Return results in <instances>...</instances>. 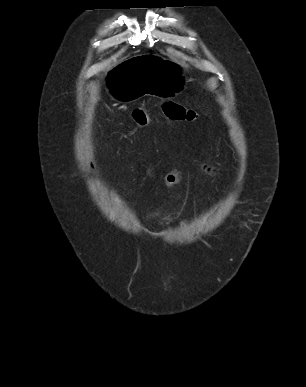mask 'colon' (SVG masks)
Listing matches in <instances>:
<instances>
[{
  "label": "colon",
  "instance_id": "5ec220e1",
  "mask_svg": "<svg viewBox=\"0 0 306 387\" xmlns=\"http://www.w3.org/2000/svg\"><path fill=\"white\" fill-rule=\"evenodd\" d=\"M164 115L170 120H181L192 122L199 118L198 112L175 102H164L162 105ZM135 125L143 129L149 123V114L147 109L143 107L135 108L131 113Z\"/></svg>",
  "mask_w": 306,
  "mask_h": 387
}]
</instances>
